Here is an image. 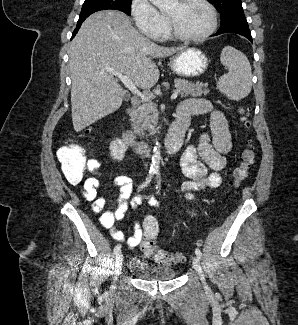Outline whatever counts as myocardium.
Returning a JSON list of instances; mask_svg holds the SVG:
<instances>
[{
  "label": "myocardium",
  "instance_id": "obj_1",
  "mask_svg": "<svg viewBox=\"0 0 298 325\" xmlns=\"http://www.w3.org/2000/svg\"><path fill=\"white\" fill-rule=\"evenodd\" d=\"M184 1H187V0H176V2H178V3L184 2ZM193 1H195L196 3L203 6L205 8V10L207 11V14L209 17V24H208L207 29L204 32H202L201 34L193 36V37L185 36L182 33H180L177 30V28L175 27L170 13L162 8L163 13L167 19V31H166L167 38H171V39H174L177 41H182V42H200V41H203L206 38H208L215 31L216 17H215L212 7L205 0H193Z\"/></svg>",
  "mask_w": 298,
  "mask_h": 325
}]
</instances>
